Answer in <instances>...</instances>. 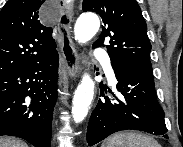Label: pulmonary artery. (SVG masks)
<instances>
[{"label":"pulmonary artery","mask_w":183,"mask_h":147,"mask_svg":"<svg viewBox=\"0 0 183 147\" xmlns=\"http://www.w3.org/2000/svg\"><path fill=\"white\" fill-rule=\"evenodd\" d=\"M106 54L102 51V50H97L95 52V56L97 58H102L104 57ZM103 68L104 70L106 71L108 77L114 81V72H113V68H112V65H111V62H110V59L109 58H105L103 59Z\"/></svg>","instance_id":"e3ab8cb5"}]
</instances>
